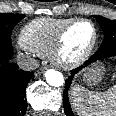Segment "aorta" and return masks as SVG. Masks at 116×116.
I'll list each match as a JSON object with an SVG mask.
<instances>
[{
    "mask_svg": "<svg viewBox=\"0 0 116 116\" xmlns=\"http://www.w3.org/2000/svg\"><path fill=\"white\" fill-rule=\"evenodd\" d=\"M45 79L49 85L54 87L62 86L64 83L62 73L54 69H49L45 72Z\"/></svg>",
    "mask_w": 116,
    "mask_h": 116,
    "instance_id": "aorta-1",
    "label": "aorta"
}]
</instances>
